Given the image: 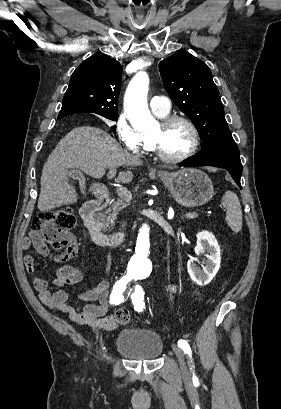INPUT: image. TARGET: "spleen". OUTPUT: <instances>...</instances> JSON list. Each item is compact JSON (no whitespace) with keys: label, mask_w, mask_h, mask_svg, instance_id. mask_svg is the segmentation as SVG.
<instances>
[{"label":"spleen","mask_w":281,"mask_h":409,"mask_svg":"<svg viewBox=\"0 0 281 409\" xmlns=\"http://www.w3.org/2000/svg\"><path fill=\"white\" fill-rule=\"evenodd\" d=\"M222 200V205L227 211L226 221L229 227H231L234 233H239V231H241L242 229L243 219L240 200L237 194H235V192H232V190H226Z\"/></svg>","instance_id":"spleen-1"}]
</instances>
